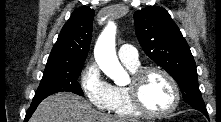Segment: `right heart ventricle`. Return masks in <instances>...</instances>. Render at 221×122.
I'll list each match as a JSON object with an SVG mask.
<instances>
[{
  "instance_id": "e07e8e85",
  "label": "right heart ventricle",
  "mask_w": 221,
  "mask_h": 122,
  "mask_svg": "<svg viewBox=\"0 0 221 122\" xmlns=\"http://www.w3.org/2000/svg\"><path fill=\"white\" fill-rule=\"evenodd\" d=\"M124 65L133 73L138 70V65L132 66L125 63ZM108 110L120 117H139L141 115L132 105L127 87L125 86H112Z\"/></svg>"
}]
</instances>
